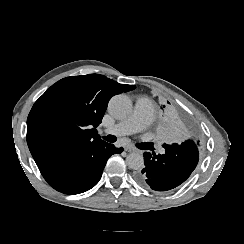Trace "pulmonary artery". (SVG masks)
I'll use <instances>...</instances> for the list:
<instances>
[{
  "instance_id": "obj_1",
  "label": "pulmonary artery",
  "mask_w": 244,
  "mask_h": 244,
  "mask_svg": "<svg viewBox=\"0 0 244 244\" xmlns=\"http://www.w3.org/2000/svg\"><path fill=\"white\" fill-rule=\"evenodd\" d=\"M135 112L136 113L132 114L124 120L123 125H112L109 129L110 134H135L152 123L154 117V108L150 101H138L135 105Z\"/></svg>"
}]
</instances>
